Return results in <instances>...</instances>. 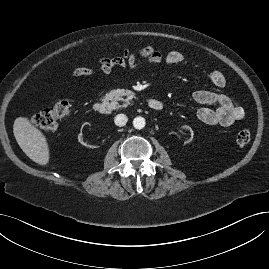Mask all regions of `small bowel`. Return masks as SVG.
Returning a JSON list of instances; mask_svg holds the SVG:
<instances>
[{
  "mask_svg": "<svg viewBox=\"0 0 269 269\" xmlns=\"http://www.w3.org/2000/svg\"><path fill=\"white\" fill-rule=\"evenodd\" d=\"M163 62L178 65L184 62V56L179 51H170L163 54L153 46H146L137 52L125 48L119 56L100 58L97 68L78 67L72 71V75L74 77H84L92 75L96 71L109 75L116 67L134 69L144 64H160ZM209 78L212 84L218 88H222L226 84V78L219 70H211ZM192 98L196 103L204 105L197 111L198 120L204 124L228 127L245 116L244 107L235 103L225 93L197 90L193 93ZM210 105H216V108L208 107Z\"/></svg>",
  "mask_w": 269,
  "mask_h": 269,
  "instance_id": "obj_1",
  "label": "small bowel"
}]
</instances>
